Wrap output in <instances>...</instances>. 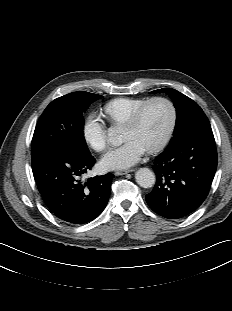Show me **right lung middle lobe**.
<instances>
[{"mask_svg":"<svg viewBox=\"0 0 232 311\" xmlns=\"http://www.w3.org/2000/svg\"><path fill=\"white\" fill-rule=\"evenodd\" d=\"M103 96L77 91L52 101L41 115L32 139V154L47 148L72 151L81 157L90 156L83 136V112Z\"/></svg>","mask_w":232,"mask_h":311,"instance_id":"dd1d6c3e","label":"right lung middle lobe"}]
</instances>
